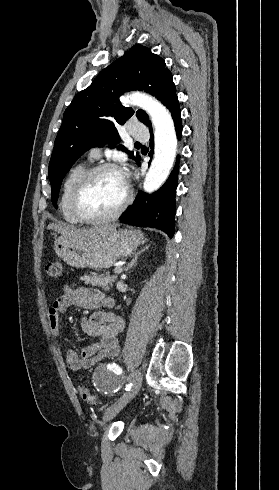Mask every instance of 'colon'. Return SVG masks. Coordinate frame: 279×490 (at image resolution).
I'll return each mask as SVG.
<instances>
[{
  "label": "colon",
  "instance_id": "1",
  "mask_svg": "<svg viewBox=\"0 0 279 490\" xmlns=\"http://www.w3.org/2000/svg\"><path fill=\"white\" fill-rule=\"evenodd\" d=\"M63 270L64 266L63 263L60 260H55L49 262L46 267H45V272L47 275L50 277L54 278H61L63 276ZM79 394L81 399L89 404V405H96L97 404V399L94 394V392L87 386L85 385H80L79 386Z\"/></svg>",
  "mask_w": 279,
  "mask_h": 490
}]
</instances>
